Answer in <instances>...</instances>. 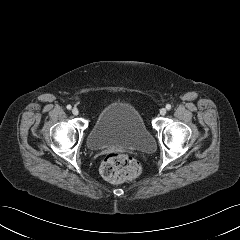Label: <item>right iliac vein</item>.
I'll return each mask as SVG.
<instances>
[{
  "mask_svg": "<svg viewBox=\"0 0 240 240\" xmlns=\"http://www.w3.org/2000/svg\"><path fill=\"white\" fill-rule=\"evenodd\" d=\"M72 113H73V115H78L79 114V110L77 108H73L72 109Z\"/></svg>",
  "mask_w": 240,
  "mask_h": 240,
  "instance_id": "1",
  "label": "right iliac vein"
}]
</instances>
